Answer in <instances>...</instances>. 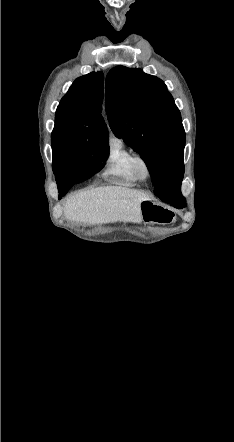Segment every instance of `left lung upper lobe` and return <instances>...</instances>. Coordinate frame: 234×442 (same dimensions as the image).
Wrapping results in <instances>:
<instances>
[{"label": "left lung upper lobe", "instance_id": "5c2ea615", "mask_svg": "<svg viewBox=\"0 0 234 442\" xmlns=\"http://www.w3.org/2000/svg\"><path fill=\"white\" fill-rule=\"evenodd\" d=\"M105 93L109 125L147 164L154 194L164 201L182 196L185 132L164 82L117 66L107 75Z\"/></svg>", "mask_w": 234, "mask_h": 442}]
</instances>
